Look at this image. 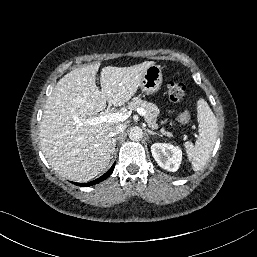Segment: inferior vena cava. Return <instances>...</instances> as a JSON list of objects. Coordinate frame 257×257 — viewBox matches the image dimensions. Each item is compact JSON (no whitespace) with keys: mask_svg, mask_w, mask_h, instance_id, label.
Wrapping results in <instances>:
<instances>
[{"mask_svg":"<svg viewBox=\"0 0 257 257\" xmlns=\"http://www.w3.org/2000/svg\"><path fill=\"white\" fill-rule=\"evenodd\" d=\"M125 128L126 127L124 125L119 124V125L115 126L114 128H112V130L109 132V136L113 137V136H116L120 133H123Z\"/></svg>","mask_w":257,"mask_h":257,"instance_id":"obj_1","label":"inferior vena cava"}]
</instances>
